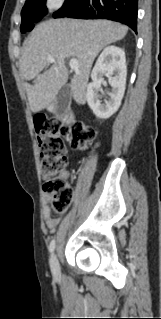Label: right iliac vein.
<instances>
[{
	"label": "right iliac vein",
	"mask_w": 161,
	"mask_h": 319,
	"mask_svg": "<svg viewBox=\"0 0 161 319\" xmlns=\"http://www.w3.org/2000/svg\"><path fill=\"white\" fill-rule=\"evenodd\" d=\"M50 267L54 276H59L60 267L56 253H53L50 258Z\"/></svg>",
	"instance_id": "obj_1"
}]
</instances>
